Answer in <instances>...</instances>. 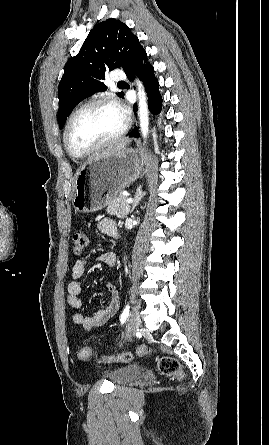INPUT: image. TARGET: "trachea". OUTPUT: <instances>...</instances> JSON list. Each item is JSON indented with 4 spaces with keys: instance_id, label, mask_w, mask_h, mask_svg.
Instances as JSON below:
<instances>
[{
    "instance_id": "1",
    "label": "trachea",
    "mask_w": 269,
    "mask_h": 445,
    "mask_svg": "<svg viewBox=\"0 0 269 445\" xmlns=\"http://www.w3.org/2000/svg\"><path fill=\"white\" fill-rule=\"evenodd\" d=\"M122 83H124V82L123 81L119 82V84H122Z\"/></svg>"
}]
</instances>
